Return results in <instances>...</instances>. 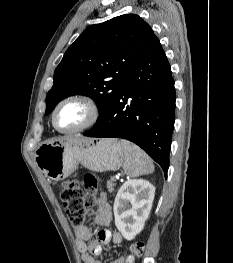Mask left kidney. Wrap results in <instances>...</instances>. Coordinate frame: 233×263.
Instances as JSON below:
<instances>
[{"mask_svg": "<svg viewBox=\"0 0 233 263\" xmlns=\"http://www.w3.org/2000/svg\"><path fill=\"white\" fill-rule=\"evenodd\" d=\"M154 195V186L143 179L128 180L118 190L113 206L115 225L126 240H133L144 228Z\"/></svg>", "mask_w": 233, "mask_h": 263, "instance_id": "1", "label": "left kidney"}]
</instances>
